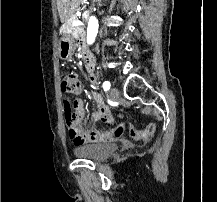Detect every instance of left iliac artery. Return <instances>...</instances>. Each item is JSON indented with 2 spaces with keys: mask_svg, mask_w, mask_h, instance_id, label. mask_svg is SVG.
<instances>
[{
  "mask_svg": "<svg viewBox=\"0 0 217 202\" xmlns=\"http://www.w3.org/2000/svg\"><path fill=\"white\" fill-rule=\"evenodd\" d=\"M102 86L104 91H108L110 89L111 84L109 81H105Z\"/></svg>",
  "mask_w": 217,
  "mask_h": 202,
  "instance_id": "1",
  "label": "left iliac artery"
}]
</instances>
